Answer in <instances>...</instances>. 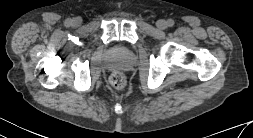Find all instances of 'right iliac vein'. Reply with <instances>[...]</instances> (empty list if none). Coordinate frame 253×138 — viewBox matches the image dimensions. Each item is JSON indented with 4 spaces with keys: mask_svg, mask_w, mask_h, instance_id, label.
Listing matches in <instances>:
<instances>
[{
    "mask_svg": "<svg viewBox=\"0 0 253 138\" xmlns=\"http://www.w3.org/2000/svg\"><path fill=\"white\" fill-rule=\"evenodd\" d=\"M71 24L74 25V26H78L80 24V19L78 18H75L71 21Z\"/></svg>",
    "mask_w": 253,
    "mask_h": 138,
    "instance_id": "right-iliac-vein-1",
    "label": "right iliac vein"
}]
</instances>
